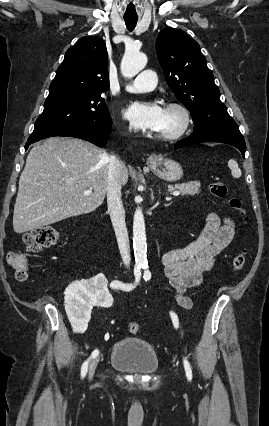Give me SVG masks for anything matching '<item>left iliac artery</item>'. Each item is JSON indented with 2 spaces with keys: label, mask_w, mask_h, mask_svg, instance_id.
<instances>
[{
  "label": "left iliac artery",
  "mask_w": 269,
  "mask_h": 426,
  "mask_svg": "<svg viewBox=\"0 0 269 426\" xmlns=\"http://www.w3.org/2000/svg\"><path fill=\"white\" fill-rule=\"evenodd\" d=\"M147 268L148 267L143 268V269H145L144 276H143L145 281H147L151 278V273H150L149 270H147ZM170 316H171L174 327L177 329L178 326H179V320H178L177 315L173 311H170ZM183 364H184V369H185V372H186V377L189 381H191L192 380V370H191L190 363L188 362V360L186 358H183Z\"/></svg>",
  "instance_id": "left-iliac-artery-1"
}]
</instances>
